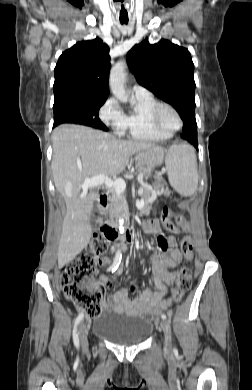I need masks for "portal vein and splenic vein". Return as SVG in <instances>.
Here are the masks:
<instances>
[{"instance_id":"1","label":"portal vein and splenic vein","mask_w":252,"mask_h":390,"mask_svg":"<svg viewBox=\"0 0 252 390\" xmlns=\"http://www.w3.org/2000/svg\"><path fill=\"white\" fill-rule=\"evenodd\" d=\"M105 184L108 188H113L117 194H121L124 192L126 188L125 181L123 179L112 180L108 176L103 174H99L93 178H86L84 183L82 184V188L87 190L88 188H94ZM142 189L138 190V193H142ZM137 208H142L144 206V201L140 200L136 202Z\"/></svg>"}]
</instances>
